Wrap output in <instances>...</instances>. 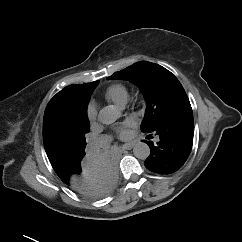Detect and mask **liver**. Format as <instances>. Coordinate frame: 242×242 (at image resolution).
I'll return each instance as SVG.
<instances>
[{"label": "liver", "instance_id": "liver-1", "mask_svg": "<svg viewBox=\"0 0 242 242\" xmlns=\"http://www.w3.org/2000/svg\"><path fill=\"white\" fill-rule=\"evenodd\" d=\"M98 185L95 183L94 187H97Z\"/></svg>", "mask_w": 242, "mask_h": 242}]
</instances>
